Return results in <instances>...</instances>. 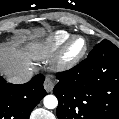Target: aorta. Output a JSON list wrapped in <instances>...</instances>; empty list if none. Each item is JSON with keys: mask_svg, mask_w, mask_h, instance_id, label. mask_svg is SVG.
<instances>
[{"mask_svg": "<svg viewBox=\"0 0 119 119\" xmlns=\"http://www.w3.org/2000/svg\"><path fill=\"white\" fill-rule=\"evenodd\" d=\"M44 106L48 109H54L58 105V100L54 95H47L43 100Z\"/></svg>", "mask_w": 119, "mask_h": 119, "instance_id": "1", "label": "aorta"}]
</instances>
